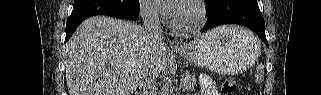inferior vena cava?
<instances>
[{"label":"inferior vena cava","instance_id":"obj_1","mask_svg":"<svg viewBox=\"0 0 321 95\" xmlns=\"http://www.w3.org/2000/svg\"><path fill=\"white\" fill-rule=\"evenodd\" d=\"M143 19V30L145 34L155 43H162V29L157 11L149 5H144L140 9ZM155 75L151 72H144L139 81L138 86L141 95H156L157 88L155 83Z\"/></svg>","mask_w":321,"mask_h":95}]
</instances>
